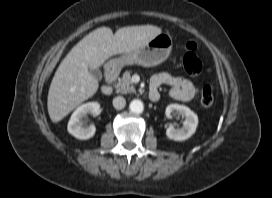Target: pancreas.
Wrapping results in <instances>:
<instances>
[{"label":"pancreas","mask_w":272,"mask_h":198,"mask_svg":"<svg viewBox=\"0 0 272 198\" xmlns=\"http://www.w3.org/2000/svg\"><path fill=\"white\" fill-rule=\"evenodd\" d=\"M116 92L127 94V93H135L136 89L131 81V72L125 71L123 73L122 78L118 80V83L115 85Z\"/></svg>","instance_id":"cf45deb5"}]
</instances>
